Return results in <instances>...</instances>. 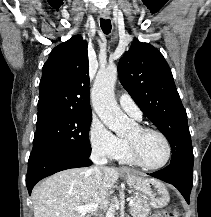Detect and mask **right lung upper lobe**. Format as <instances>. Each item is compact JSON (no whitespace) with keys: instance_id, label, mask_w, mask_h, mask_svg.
Masks as SVG:
<instances>
[{"instance_id":"1","label":"right lung upper lobe","mask_w":211,"mask_h":217,"mask_svg":"<svg viewBox=\"0 0 211 217\" xmlns=\"http://www.w3.org/2000/svg\"><path fill=\"white\" fill-rule=\"evenodd\" d=\"M87 43L79 35L55 47L43 66L38 118L56 113L91 114Z\"/></svg>"}]
</instances>
